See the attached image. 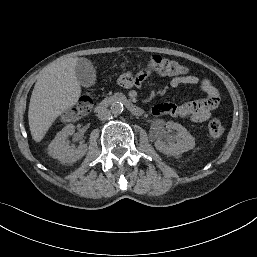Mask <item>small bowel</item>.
<instances>
[{"label": "small bowel", "mask_w": 257, "mask_h": 257, "mask_svg": "<svg viewBox=\"0 0 257 257\" xmlns=\"http://www.w3.org/2000/svg\"><path fill=\"white\" fill-rule=\"evenodd\" d=\"M157 76L158 71L156 67L150 63H145L140 67L132 65L119 70L116 75V82L123 89L141 88L146 84L154 82ZM170 85L174 89L185 85H198L199 89L205 94V97L183 104H157L151 109L153 115L182 117L200 123L206 121L219 105V91L208 79H200L198 76L191 74L177 75L171 79Z\"/></svg>", "instance_id": "1"}]
</instances>
